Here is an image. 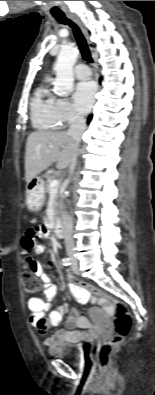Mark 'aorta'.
<instances>
[{"label":"aorta","mask_w":155,"mask_h":395,"mask_svg":"<svg viewBox=\"0 0 155 395\" xmlns=\"http://www.w3.org/2000/svg\"><path fill=\"white\" fill-rule=\"evenodd\" d=\"M78 57V50L72 45H63L54 66L56 79L54 92L60 97L67 96L73 90V66Z\"/></svg>","instance_id":"aorta-1"}]
</instances>
